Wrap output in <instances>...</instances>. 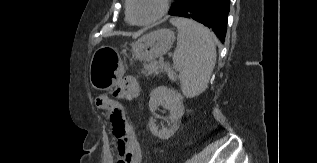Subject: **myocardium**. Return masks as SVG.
<instances>
[{
    "label": "myocardium",
    "instance_id": "obj_1",
    "mask_svg": "<svg viewBox=\"0 0 317 163\" xmlns=\"http://www.w3.org/2000/svg\"><path fill=\"white\" fill-rule=\"evenodd\" d=\"M132 2H133L132 0H127L126 13H127L129 21L131 23H133L135 25H139V26H147V25H151V24L159 21L167 14L169 7H170V0H161L160 10L154 17H152L148 20H145V21H138L132 15V9H131Z\"/></svg>",
    "mask_w": 317,
    "mask_h": 163
}]
</instances>
